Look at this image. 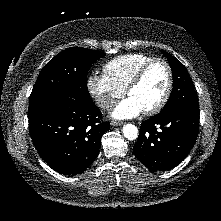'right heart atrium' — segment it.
<instances>
[{
    "mask_svg": "<svg viewBox=\"0 0 221 221\" xmlns=\"http://www.w3.org/2000/svg\"><path fill=\"white\" fill-rule=\"evenodd\" d=\"M87 89L96 104L104 110L111 109L116 100L124 95L123 89L101 74H91L88 77Z\"/></svg>",
    "mask_w": 221,
    "mask_h": 221,
    "instance_id": "right-heart-atrium-1",
    "label": "right heart atrium"
}]
</instances>
